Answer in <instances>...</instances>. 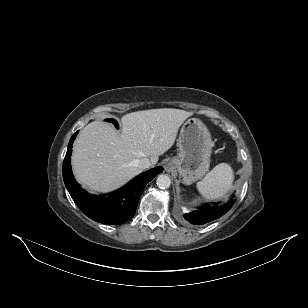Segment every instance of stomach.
Here are the masks:
<instances>
[{"instance_id": "1", "label": "stomach", "mask_w": 308, "mask_h": 308, "mask_svg": "<svg viewBox=\"0 0 308 308\" xmlns=\"http://www.w3.org/2000/svg\"><path fill=\"white\" fill-rule=\"evenodd\" d=\"M177 146L179 153L171 159V165L182 182L190 185L209 170L213 147L211 135L201 120L190 118L180 129Z\"/></svg>"}]
</instances>
